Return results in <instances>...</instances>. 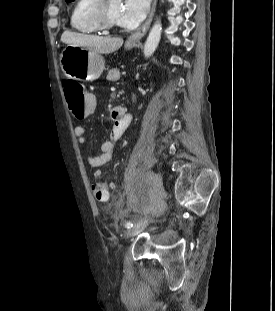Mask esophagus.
Masks as SVG:
<instances>
[{"label":"esophagus","instance_id":"1","mask_svg":"<svg viewBox=\"0 0 275 311\" xmlns=\"http://www.w3.org/2000/svg\"><path fill=\"white\" fill-rule=\"evenodd\" d=\"M156 3H157V0L152 1L150 14H149L147 20L136 32H134L132 35H130L128 37V39L126 41L127 44H135V43L139 42V40L147 33V31L150 27V24L152 22L154 13H155Z\"/></svg>","mask_w":275,"mask_h":311}]
</instances>
